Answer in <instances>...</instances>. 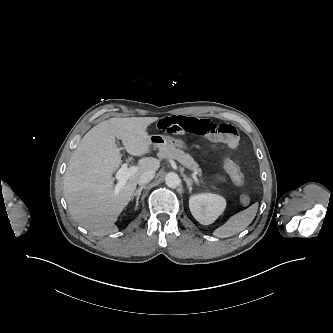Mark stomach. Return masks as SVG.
Instances as JSON below:
<instances>
[{
	"label": "stomach",
	"instance_id": "0dacf381",
	"mask_svg": "<svg viewBox=\"0 0 333 333\" xmlns=\"http://www.w3.org/2000/svg\"><path fill=\"white\" fill-rule=\"evenodd\" d=\"M152 144L156 148H163L167 146H174L177 148H184L185 144L182 140L174 139L168 135H154L151 137Z\"/></svg>",
	"mask_w": 333,
	"mask_h": 333
}]
</instances>
